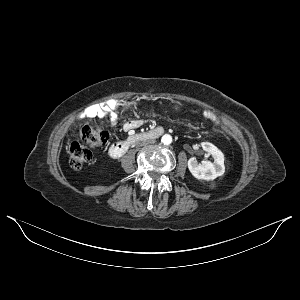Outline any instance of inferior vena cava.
<instances>
[{"label":"inferior vena cava","mask_w":300,"mask_h":300,"mask_svg":"<svg viewBox=\"0 0 300 300\" xmlns=\"http://www.w3.org/2000/svg\"><path fill=\"white\" fill-rule=\"evenodd\" d=\"M140 144L142 146H152L156 144V139L155 138H144L140 141Z\"/></svg>","instance_id":"1"}]
</instances>
